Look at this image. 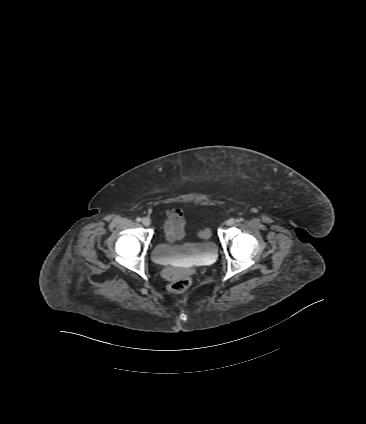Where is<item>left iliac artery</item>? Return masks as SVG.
<instances>
[{"mask_svg":"<svg viewBox=\"0 0 366 424\" xmlns=\"http://www.w3.org/2000/svg\"><path fill=\"white\" fill-rule=\"evenodd\" d=\"M237 221L238 222H242L243 221V218H239V219H237Z\"/></svg>","mask_w":366,"mask_h":424,"instance_id":"1","label":"left iliac artery"}]
</instances>
